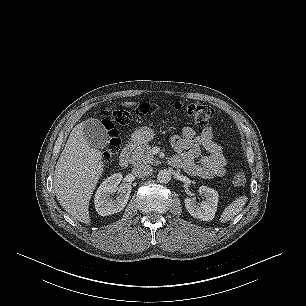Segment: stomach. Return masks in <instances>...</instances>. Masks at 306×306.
I'll list each match as a JSON object with an SVG mask.
<instances>
[{
  "mask_svg": "<svg viewBox=\"0 0 306 306\" xmlns=\"http://www.w3.org/2000/svg\"><path fill=\"white\" fill-rule=\"evenodd\" d=\"M154 136L155 132L153 129L149 127H141L132 133L131 140L136 144H143L151 141Z\"/></svg>",
  "mask_w": 306,
  "mask_h": 306,
  "instance_id": "0dacf381",
  "label": "stomach"
}]
</instances>
